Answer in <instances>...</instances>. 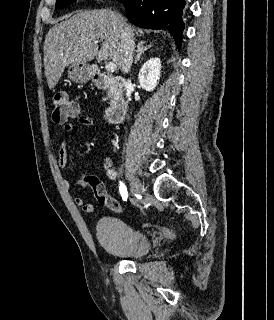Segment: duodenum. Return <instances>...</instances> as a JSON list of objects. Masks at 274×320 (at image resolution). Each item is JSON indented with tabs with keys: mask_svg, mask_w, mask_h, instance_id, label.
<instances>
[{
	"mask_svg": "<svg viewBox=\"0 0 274 320\" xmlns=\"http://www.w3.org/2000/svg\"><path fill=\"white\" fill-rule=\"evenodd\" d=\"M92 78L101 90L114 87L116 89L115 100L106 112V119L109 123L121 122L128 110V100L125 97L124 90L127 81L122 76H109L101 71H95Z\"/></svg>",
	"mask_w": 274,
	"mask_h": 320,
	"instance_id": "1",
	"label": "duodenum"
}]
</instances>
